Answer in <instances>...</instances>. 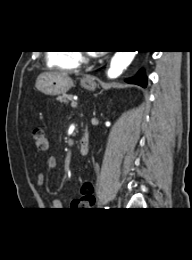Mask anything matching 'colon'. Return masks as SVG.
Segmentation results:
<instances>
[{"label": "colon", "mask_w": 192, "mask_h": 260, "mask_svg": "<svg viewBox=\"0 0 192 260\" xmlns=\"http://www.w3.org/2000/svg\"><path fill=\"white\" fill-rule=\"evenodd\" d=\"M32 137L34 141L35 150L38 153H45L49 149V139L42 128H34L32 131ZM84 198H94L93 187L90 182H85L81 185L79 198L77 199V201H80Z\"/></svg>", "instance_id": "obj_1"}]
</instances>
